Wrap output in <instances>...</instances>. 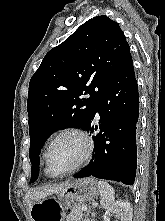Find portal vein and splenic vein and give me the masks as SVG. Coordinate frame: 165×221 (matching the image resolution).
Masks as SVG:
<instances>
[{
	"instance_id": "1",
	"label": "portal vein and splenic vein",
	"mask_w": 165,
	"mask_h": 221,
	"mask_svg": "<svg viewBox=\"0 0 165 221\" xmlns=\"http://www.w3.org/2000/svg\"><path fill=\"white\" fill-rule=\"evenodd\" d=\"M80 209H81L82 211H86V210H87V207H86V206H80Z\"/></svg>"
}]
</instances>
